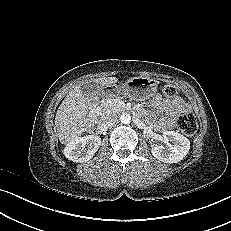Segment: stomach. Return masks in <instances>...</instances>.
<instances>
[{
	"label": "stomach",
	"mask_w": 231,
	"mask_h": 231,
	"mask_svg": "<svg viewBox=\"0 0 231 231\" xmlns=\"http://www.w3.org/2000/svg\"><path fill=\"white\" fill-rule=\"evenodd\" d=\"M157 92V81L148 77H134L127 80L121 86L112 85L104 93L106 96L113 97L119 94L127 96L136 101H144L154 96Z\"/></svg>",
	"instance_id": "obj_1"
}]
</instances>
